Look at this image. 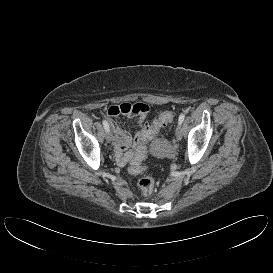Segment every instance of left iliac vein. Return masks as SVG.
<instances>
[{"label":"left iliac vein","mask_w":273,"mask_h":273,"mask_svg":"<svg viewBox=\"0 0 273 273\" xmlns=\"http://www.w3.org/2000/svg\"><path fill=\"white\" fill-rule=\"evenodd\" d=\"M175 135H176V138H177L178 141H180L182 139L183 128H182V125L180 123H178V125L176 126Z\"/></svg>","instance_id":"4c4485c4"}]
</instances>
